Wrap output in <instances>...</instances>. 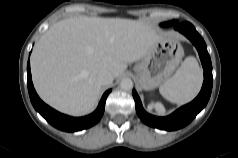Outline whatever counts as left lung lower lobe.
<instances>
[{
  "instance_id": "left-lung-lower-lobe-1",
  "label": "left lung lower lobe",
  "mask_w": 238,
  "mask_h": 158,
  "mask_svg": "<svg viewBox=\"0 0 238 158\" xmlns=\"http://www.w3.org/2000/svg\"><path fill=\"white\" fill-rule=\"evenodd\" d=\"M173 23H175V21L164 23L162 26H169ZM175 30L184 34L198 50L204 69V82L199 95L191 103L182 106L171 115L167 117H156L148 114L143 109L139 96L136 91L133 90L136 112L140 119L151 127L169 131L177 130L188 125L196 117V115L206 106L211 95L213 84L211 59L203 38L189 22H183L176 25Z\"/></svg>"
}]
</instances>
